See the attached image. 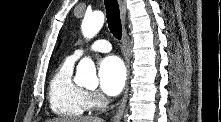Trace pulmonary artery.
<instances>
[{"instance_id": "1", "label": "pulmonary artery", "mask_w": 221, "mask_h": 122, "mask_svg": "<svg viewBox=\"0 0 221 122\" xmlns=\"http://www.w3.org/2000/svg\"><path fill=\"white\" fill-rule=\"evenodd\" d=\"M111 48L112 47L109 41L100 39V40H96L95 42H93L89 47L79 48L75 50L74 53L70 57L74 60H77L88 51L109 52Z\"/></svg>"}]
</instances>
